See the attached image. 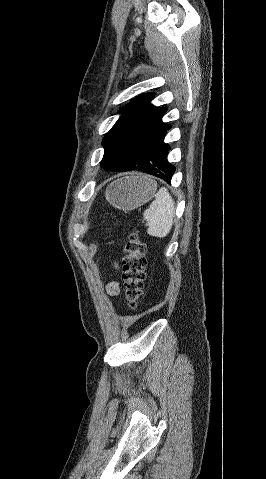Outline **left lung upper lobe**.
<instances>
[{
    "label": "left lung upper lobe",
    "mask_w": 266,
    "mask_h": 479,
    "mask_svg": "<svg viewBox=\"0 0 266 479\" xmlns=\"http://www.w3.org/2000/svg\"><path fill=\"white\" fill-rule=\"evenodd\" d=\"M153 97L154 93H144L120 109L123 114L102 142L105 152L101 167L105 170L133 169L156 157L167 125L162 122L167 109L153 106Z\"/></svg>",
    "instance_id": "left-lung-upper-lobe-1"
}]
</instances>
